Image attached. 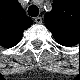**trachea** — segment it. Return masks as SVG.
Wrapping results in <instances>:
<instances>
[{
    "label": "trachea",
    "instance_id": "1",
    "mask_svg": "<svg viewBox=\"0 0 80 80\" xmlns=\"http://www.w3.org/2000/svg\"><path fill=\"white\" fill-rule=\"evenodd\" d=\"M39 14V9L36 5H31L29 8H28V15L31 16V17H36L38 16Z\"/></svg>",
    "mask_w": 80,
    "mask_h": 80
}]
</instances>
